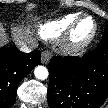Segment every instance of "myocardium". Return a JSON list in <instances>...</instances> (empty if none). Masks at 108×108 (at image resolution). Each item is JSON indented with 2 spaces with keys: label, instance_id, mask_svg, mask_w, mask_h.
I'll return each instance as SVG.
<instances>
[{
  "label": "myocardium",
  "instance_id": "f54148a6",
  "mask_svg": "<svg viewBox=\"0 0 108 108\" xmlns=\"http://www.w3.org/2000/svg\"><path fill=\"white\" fill-rule=\"evenodd\" d=\"M85 21L91 22V29L87 35L80 37L78 36V29ZM96 31V21L91 16H81L69 26L63 42L64 47L69 51H79L92 42Z\"/></svg>",
  "mask_w": 108,
  "mask_h": 108
}]
</instances>
